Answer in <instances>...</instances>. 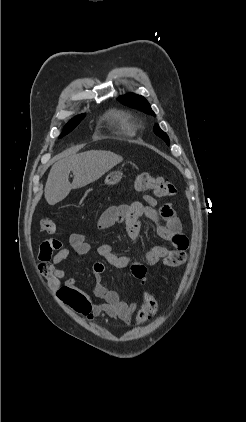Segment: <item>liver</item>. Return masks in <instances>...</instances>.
<instances>
[{
	"label": "liver",
	"mask_w": 246,
	"mask_h": 422,
	"mask_svg": "<svg viewBox=\"0 0 246 422\" xmlns=\"http://www.w3.org/2000/svg\"><path fill=\"white\" fill-rule=\"evenodd\" d=\"M123 158L109 151H86L68 155L58 160L51 168L44 195L49 205L62 201L72 189L84 187L122 162ZM74 175L69 182V173Z\"/></svg>",
	"instance_id": "6515ba94"
}]
</instances>
